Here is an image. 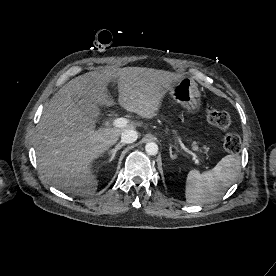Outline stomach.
<instances>
[{
    "label": "stomach",
    "instance_id": "stomach-1",
    "mask_svg": "<svg viewBox=\"0 0 276 276\" xmlns=\"http://www.w3.org/2000/svg\"><path fill=\"white\" fill-rule=\"evenodd\" d=\"M170 95L189 113H196L201 108V94L192 78L183 77L172 87Z\"/></svg>",
    "mask_w": 276,
    "mask_h": 276
}]
</instances>
